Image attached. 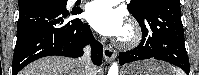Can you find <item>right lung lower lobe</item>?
I'll return each mask as SVG.
<instances>
[{
	"mask_svg": "<svg viewBox=\"0 0 199 75\" xmlns=\"http://www.w3.org/2000/svg\"><path fill=\"white\" fill-rule=\"evenodd\" d=\"M19 12L12 75L41 57H80L88 44L92 46L93 63L101 65L103 46L94 39L88 24L71 18L82 10L69 13L58 7L37 5L20 8Z\"/></svg>",
	"mask_w": 199,
	"mask_h": 75,
	"instance_id": "1",
	"label": "right lung lower lobe"
}]
</instances>
